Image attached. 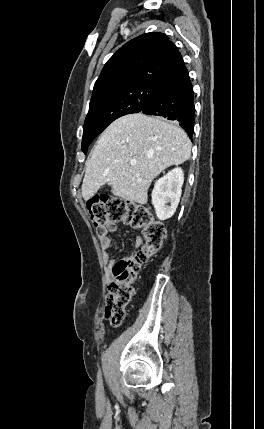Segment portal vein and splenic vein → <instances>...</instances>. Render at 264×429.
Wrapping results in <instances>:
<instances>
[{"mask_svg":"<svg viewBox=\"0 0 264 429\" xmlns=\"http://www.w3.org/2000/svg\"><path fill=\"white\" fill-rule=\"evenodd\" d=\"M136 160H132L131 162H130V164L132 165V166H134V165H136Z\"/></svg>","mask_w":264,"mask_h":429,"instance_id":"portal-vein-and-splenic-vein-1","label":"portal vein and splenic vein"}]
</instances>
